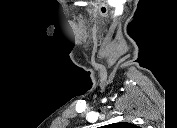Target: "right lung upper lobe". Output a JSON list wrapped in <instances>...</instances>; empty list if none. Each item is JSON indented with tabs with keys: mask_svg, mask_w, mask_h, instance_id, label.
I'll list each match as a JSON object with an SVG mask.
<instances>
[{
	"mask_svg": "<svg viewBox=\"0 0 177 128\" xmlns=\"http://www.w3.org/2000/svg\"><path fill=\"white\" fill-rule=\"evenodd\" d=\"M113 126L117 128H136L135 125L127 123V122L115 123Z\"/></svg>",
	"mask_w": 177,
	"mask_h": 128,
	"instance_id": "1",
	"label": "right lung upper lobe"
}]
</instances>
